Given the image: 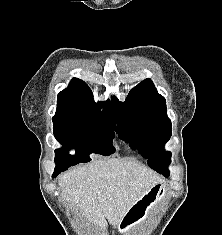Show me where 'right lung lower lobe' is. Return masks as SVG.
<instances>
[{"label": "right lung lower lobe", "mask_w": 222, "mask_h": 235, "mask_svg": "<svg viewBox=\"0 0 222 235\" xmlns=\"http://www.w3.org/2000/svg\"><path fill=\"white\" fill-rule=\"evenodd\" d=\"M58 174H53V177L57 176Z\"/></svg>", "instance_id": "1"}]
</instances>
